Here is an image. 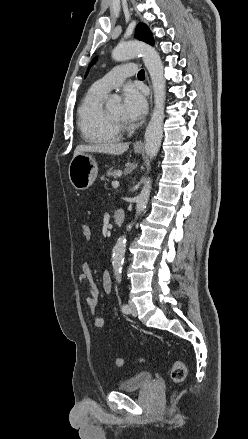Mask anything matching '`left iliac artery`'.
I'll return each mask as SVG.
<instances>
[{
  "label": "left iliac artery",
  "instance_id": "44dca946",
  "mask_svg": "<svg viewBox=\"0 0 248 439\" xmlns=\"http://www.w3.org/2000/svg\"><path fill=\"white\" fill-rule=\"evenodd\" d=\"M117 280H118L119 283L121 282V276L120 275L117 276ZM121 309H122V311L124 313H129L130 312V307L127 304H122Z\"/></svg>",
  "mask_w": 248,
  "mask_h": 439
}]
</instances>
